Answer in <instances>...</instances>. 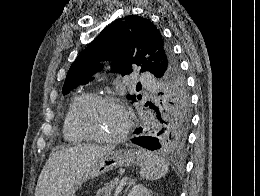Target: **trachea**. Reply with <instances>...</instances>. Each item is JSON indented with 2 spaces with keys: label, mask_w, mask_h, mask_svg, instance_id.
I'll return each instance as SVG.
<instances>
[{
  "label": "trachea",
  "mask_w": 260,
  "mask_h": 196,
  "mask_svg": "<svg viewBox=\"0 0 260 196\" xmlns=\"http://www.w3.org/2000/svg\"><path fill=\"white\" fill-rule=\"evenodd\" d=\"M142 87V85H137V88H141Z\"/></svg>",
  "instance_id": "3493384b"
}]
</instances>
